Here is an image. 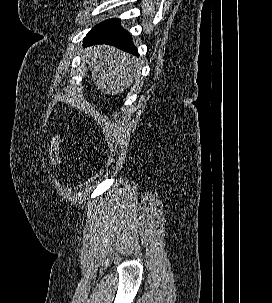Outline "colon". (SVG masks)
Returning a JSON list of instances; mask_svg holds the SVG:
<instances>
[{
  "mask_svg": "<svg viewBox=\"0 0 272 303\" xmlns=\"http://www.w3.org/2000/svg\"><path fill=\"white\" fill-rule=\"evenodd\" d=\"M49 163L55 168L59 164V139L53 136L49 143Z\"/></svg>",
  "mask_w": 272,
  "mask_h": 303,
  "instance_id": "obj_1",
  "label": "colon"
}]
</instances>
